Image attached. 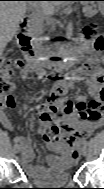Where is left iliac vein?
I'll use <instances>...</instances> for the list:
<instances>
[{
	"instance_id": "obj_1",
	"label": "left iliac vein",
	"mask_w": 104,
	"mask_h": 189,
	"mask_svg": "<svg viewBox=\"0 0 104 189\" xmlns=\"http://www.w3.org/2000/svg\"><path fill=\"white\" fill-rule=\"evenodd\" d=\"M87 153H88V151H87L86 148H83V149L81 150V155H82L83 157H85V156L87 155Z\"/></svg>"
}]
</instances>
